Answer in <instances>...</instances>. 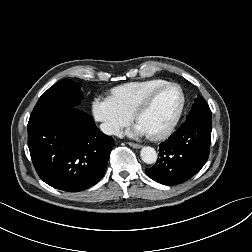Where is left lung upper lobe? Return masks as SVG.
Instances as JSON below:
<instances>
[{"mask_svg": "<svg viewBox=\"0 0 252 252\" xmlns=\"http://www.w3.org/2000/svg\"><path fill=\"white\" fill-rule=\"evenodd\" d=\"M199 118L212 119L209 106L207 105L206 101L200 96H198L195 99L194 104L191 108V111L186 117V121H189L192 119H199Z\"/></svg>", "mask_w": 252, "mask_h": 252, "instance_id": "5c2ea615", "label": "left lung upper lobe"}]
</instances>
